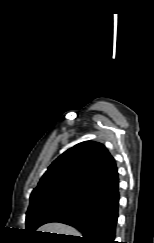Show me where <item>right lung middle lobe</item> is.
<instances>
[{"mask_svg": "<svg viewBox=\"0 0 154 243\" xmlns=\"http://www.w3.org/2000/svg\"><path fill=\"white\" fill-rule=\"evenodd\" d=\"M86 201L66 196H45L30 200L26 216V233L34 234L35 230L45 224L50 217L66 208H74Z\"/></svg>", "mask_w": 154, "mask_h": 243, "instance_id": "1", "label": "right lung middle lobe"}]
</instances>
